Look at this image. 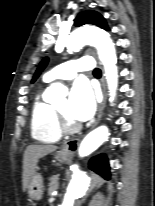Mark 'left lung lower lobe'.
<instances>
[{"label": "left lung lower lobe", "instance_id": "obj_1", "mask_svg": "<svg viewBox=\"0 0 155 206\" xmlns=\"http://www.w3.org/2000/svg\"><path fill=\"white\" fill-rule=\"evenodd\" d=\"M90 167L101 174L104 178L109 179V163L105 155H98L90 160Z\"/></svg>", "mask_w": 155, "mask_h": 206}]
</instances>
